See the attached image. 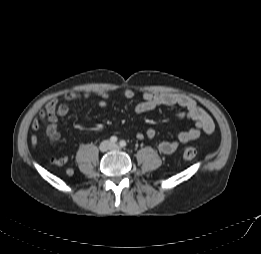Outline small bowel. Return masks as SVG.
<instances>
[{
    "label": "small bowel",
    "mask_w": 261,
    "mask_h": 254,
    "mask_svg": "<svg viewBox=\"0 0 261 254\" xmlns=\"http://www.w3.org/2000/svg\"><path fill=\"white\" fill-rule=\"evenodd\" d=\"M93 96L98 97V105L100 107H107L109 95L106 92H85L83 94L78 92H68L60 99H51L40 111L39 117L35 118L32 122L31 128L34 133L30 138L31 146L35 148L38 145L39 138L37 132L40 129L42 122L46 124V134L48 138L52 141H58L61 137L57 125L58 119L59 117L68 114L69 102L82 98L89 99ZM121 96L125 99H132L134 97V92L131 89H125L122 91ZM163 106H179L183 108L184 116L194 122L192 127L181 131L175 139L164 140L158 144V149L163 154H172L181 145L197 140L202 132L211 134L215 130V124L210 115L199 107L191 97L183 94L146 91L142 94V100L135 105L134 112L136 114H144ZM155 136L156 131L153 128H147L144 132H139L136 135L138 139H153ZM49 160L56 166H64L68 162V157H50ZM67 170H71L73 174L72 169Z\"/></svg>",
    "instance_id": "c3829d8e"
}]
</instances>
